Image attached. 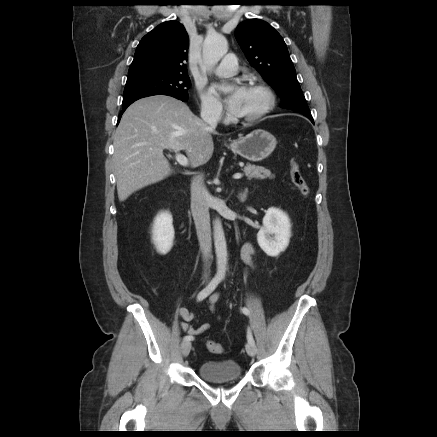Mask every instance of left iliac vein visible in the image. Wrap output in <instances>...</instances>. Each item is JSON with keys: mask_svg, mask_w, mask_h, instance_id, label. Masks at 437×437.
Wrapping results in <instances>:
<instances>
[{"mask_svg": "<svg viewBox=\"0 0 437 437\" xmlns=\"http://www.w3.org/2000/svg\"><path fill=\"white\" fill-rule=\"evenodd\" d=\"M246 351H247L248 355L251 357L255 356L257 353V349H256L255 345L250 343V342H248L246 344Z\"/></svg>", "mask_w": 437, "mask_h": 437, "instance_id": "1", "label": "left iliac vein"}]
</instances>
